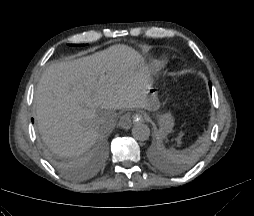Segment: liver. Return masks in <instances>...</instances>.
<instances>
[{
  "label": "liver",
  "mask_w": 254,
  "mask_h": 216,
  "mask_svg": "<svg viewBox=\"0 0 254 216\" xmlns=\"http://www.w3.org/2000/svg\"><path fill=\"white\" fill-rule=\"evenodd\" d=\"M143 65L141 56L123 45L50 64L35 91L45 144L60 157L79 156L114 128L117 110H153Z\"/></svg>",
  "instance_id": "liver-1"
}]
</instances>
